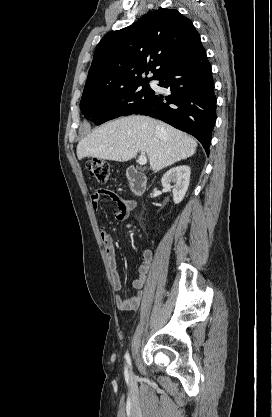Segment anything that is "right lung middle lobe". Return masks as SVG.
<instances>
[{
    "instance_id": "obj_1",
    "label": "right lung middle lobe",
    "mask_w": 272,
    "mask_h": 417,
    "mask_svg": "<svg viewBox=\"0 0 272 417\" xmlns=\"http://www.w3.org/2000/svg\"><path fill=\"white\" fill-rule=\"evenodd\" d=\"M155 95L148 83H140L125 89L105 94H83L80 110L96 125L108 120L133 114Z\"/></svg>"
}]
</instances>
